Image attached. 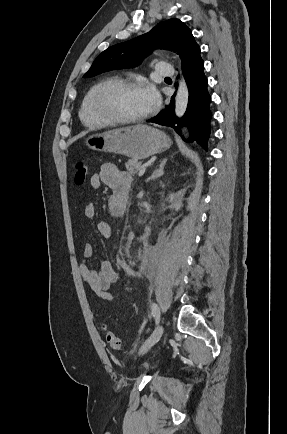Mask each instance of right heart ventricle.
<instances>
[{"instance_id": "right-heart-ventricle-1", "label": "right heart ventricle", "mask_w": 287, "mask_h": 434, "mask_svg": "<svg viewBox=\"0 0 287 434\" xmlns=\"http://www.w3.org/2000/svg\"><path fill=\"white\" fill-rule=\"evenodd\" d=\"M110 79H115V78H108L102 81L97 82L96 84H94L88 91L87 93L84 95L81 104H80V108H79V117L81 119V121L89 126V127H103L108 125V123L103 120L102 118L98 117L93 109V97L97 91V89L106 81L110 80Z\"/></svg>"}]
</instances>
